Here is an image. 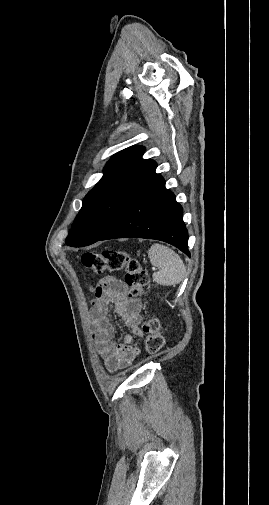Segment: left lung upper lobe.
Segmentation results:
<instances>
[{
	"instance_id": "5c2ea615",
	"label": "left lung upper lobe",
	"mask_w": 269,
	"mask_h": 505,
	"mask_svg": "<svg viewBox=\"0 0 269 505\" xmlns=\"http://www.w3.org/2000/svg\"><path fill=\"white\" fill-rule=\"evenodd\" d=\"M144 151L141 146L129 147L108 161L104 176L85 196L66 245L87 246L107 233L132 197L150 161L142 158Z\"/></svg>"
}]
</instances>
